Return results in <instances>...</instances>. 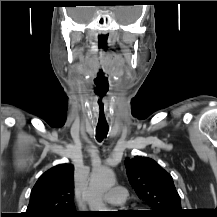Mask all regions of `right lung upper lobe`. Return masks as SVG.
<instances>
[{"label": "right lung upper lobe", "mask_w": 217, "mask_h": 217, "mask_svg": "<svg viewBox=\"0 0 217 217\" xmlns=\"http://www.w3.org/2000/svg\"><path fill=\"white\" fill-rule=\"evenodd\" d=\"M74 167L60 164L43 173L30 195L25 217L77 215L74 198Z\"/></svg>", "instance_id": "cb5924a9"}]
</instances>
